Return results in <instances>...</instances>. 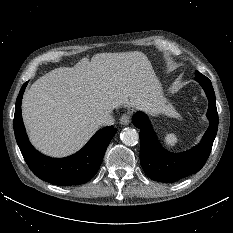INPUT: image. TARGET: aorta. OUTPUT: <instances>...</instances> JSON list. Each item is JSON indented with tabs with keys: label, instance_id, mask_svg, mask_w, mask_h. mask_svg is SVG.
Segmentation results:
<instances>
[{
	"label": "aorta",
	"instance_id": "762f6f07",
	"mask_svg": "<svg viewBox=\"0 0 233 233\" xmlns=\"http://www.w3.org/2000/svg\"><path fill=\"white\" fill-rule=\"evenodd\" d=\"M120 138L125 145L133 146L138 143L139 134L133 128H125L120 134Z\"/></svg>",
	"mask_w": 233,
	"mask_h": 233
}]
</instances>
